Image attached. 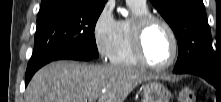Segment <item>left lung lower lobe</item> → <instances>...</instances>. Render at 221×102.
<instances>
[{
	"instance_id": "0a47b994",
	"label": "left lung lower lobe",
	"mask_w": 221,
	"mask_h": 102,
	"mask_svg": "<svg viewBox=\"0 0 221 102\" xmlns=\"http://www.w3.org/2000/svg\"><path fill=\"white\" fill-rule=\"evenodd\" d=\"M174 73H176V74L188 73V74L198 75V76L204 78L206 81H208L212 85H214V86L216 85V87L218 85L217 84L218 78L215 75H213L212 73H210L202 68L189 67V68H183V69H174Z\"/></svg>"
}]
</instances>
